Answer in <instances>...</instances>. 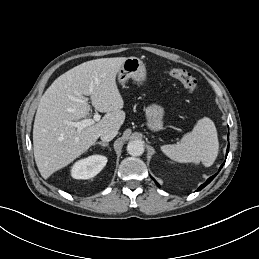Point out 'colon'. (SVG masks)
Masks as SVG:
<instances>
[{"label":"colon","instance_id":"1","mask_svg":"<svg viewBox=\"0 0 259 259\" xmlns=\"http://www.w3.org/2000/svg\"><path fill=\"white\" fill-rule=\"evenodd\" d=\"M167 74L181 82L186 91L193 94L198 89L196 79L186 70L180 68H170L167 70Z\"/></svg>","mask_w":259,"mask_h":259}]
</instances>
